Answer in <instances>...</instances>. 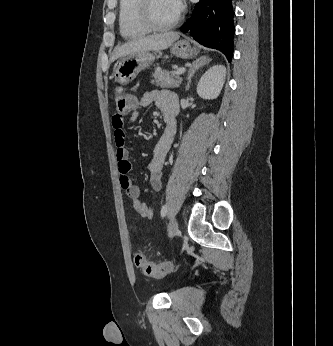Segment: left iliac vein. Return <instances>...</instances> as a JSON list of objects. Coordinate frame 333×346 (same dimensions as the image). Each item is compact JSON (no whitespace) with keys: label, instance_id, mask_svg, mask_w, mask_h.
<instances>
[{"label":"left iliac vein","instance_id":"4c4485c4","mask_svg":"<svg viewBox=\"0 0 333 346\" xmlns=\"http://www.w3.org/2000/svg\"><path fill=\"white\" fill-rule=\"evenodd\" d=\"M178 232V223L177 219L173 218L168 225V235L170 238L174 237Z\"/></svg>","mask_w":333,"mask_h":346}]
</instances>
